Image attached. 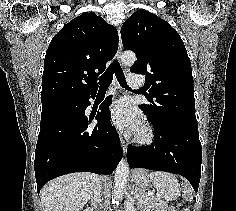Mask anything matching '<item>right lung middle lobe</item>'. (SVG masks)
Listing matches in <instances>:
<instances>
[{"mask_svg": "<svg viewBox=\"0 0 236 211\" xmlns=\"http://www.w3.org/2000/svg\"><path fill=\"white\" fill-rule=\"evenodd\" d=\"M77 99H58V100H54L52 102H49L47 104H43L44 105H49V104H62V103H72L75 102Z\"/></svg>", "mask_w": 236, "mask_h": 211, "instance_id": "right-lung-middle-lobe-1", "label": "right lung middle lobe"}]
</instances>
